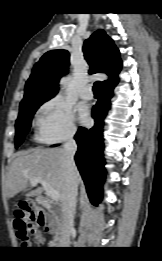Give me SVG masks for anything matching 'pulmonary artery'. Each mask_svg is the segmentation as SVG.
Listing matches in <instances>:
<instances>
[{
	"label": "pulmonary artery",
	"mask_w": 162,
	"mask_h": 261,
	"mask_svg": "<svg viewBox=\"0 0 162 261\" xmlns=\"http://www.w3.org/2000/svg\"><path fill=\"white\" fill-rule=\"evenodd\" d=\"M80 97L85 100L93 98V91L90 85L84 86L79 93Z\"/></svg>",
	"instance_id": "obj_1"
}]
</instances>
